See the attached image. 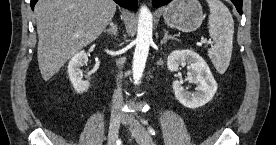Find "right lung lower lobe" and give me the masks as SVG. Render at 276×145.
<instances>
[{
	"label": "right lung lower lobe",
	"mask_w": 276,
	"mask_h": 145,
	"mask_svg": "<svg viewBox=\"0 0 276 145\" xmlns=\"http://www.w3.org/2000/svg\"><path fill=\"white\" fill-rule=\"evenodd\" d=\"M117 4L127 9L136 10L138 7L137 0H114ZM37 0H31V8L34 9V5Z\"/></svg>",
	"instance_id": "1"
}]
</instances>
